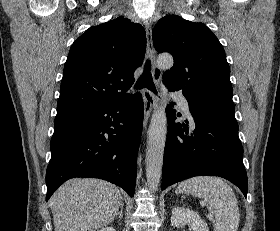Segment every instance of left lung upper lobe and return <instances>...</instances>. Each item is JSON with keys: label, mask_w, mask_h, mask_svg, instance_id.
I'll return each instance as SVG.
<instances>
[{"label": "left lung upper lobe", "mask_w": 280, "mask_h": 231, "mask_svg": "<svg viewBox=\"0 0 280 231\" xmlns=\"http://www.w3.org/2000/svg\"><path fill=\"white\" fill-rule=\"evenodd\" d=\"M153 44L157 52L174 58L163 74L170 91H182L192 104L234 111L225 51L205 24L167 15L153 29Z\"/></svg>", "instance_id": "1"}]
</instances>
